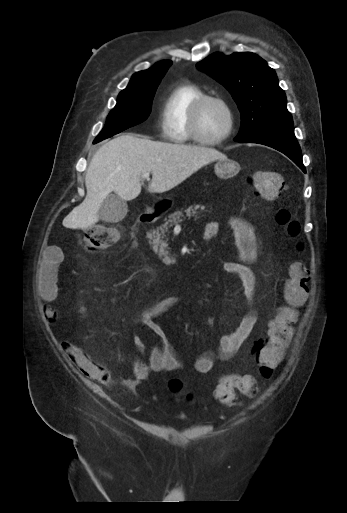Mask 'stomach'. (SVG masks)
Listing matches in <instances>:
<instances>
[{"mask_svg": "<svg viewBox=\"0 0 347 513\" xmlns=\"http://www.w3.org/2000/svg\"><path fill=\"white\" fill-rule=\"evenodd\" d=\"M240 170V165L231 159L218 160L214 165L215 174L222 179L235 176Z\"/></svg>", "mask_w": 347, "mask_h": 513, "instance_id": "stomach-1", "label": "stomach"}]
</instances>
